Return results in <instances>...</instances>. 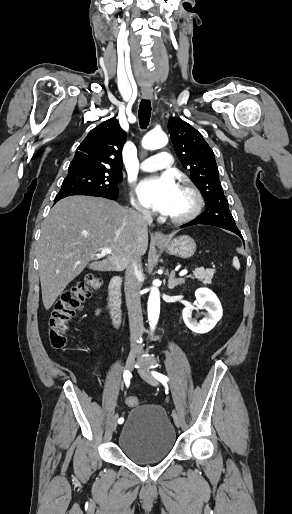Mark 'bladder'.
I'll return each mask as SVG.
<instances>
[{
	"mask_svg": "<svg viewBox=\"0 0 292 514\" xmlns=\"http://www.w3.org/2000/svg\"><path fill=\"white\" fill-rule=\"evenodd\" d=\"M175 444L176 433L165 410L153 404L133 407L118 438L123 454L138 464L165 459Z\"/></svg>",
	"mask_w": 292,
	"mask_h": 514,
	"instance_id": "31cf9c89",
	"label": "bladder"
}]
</instances>
